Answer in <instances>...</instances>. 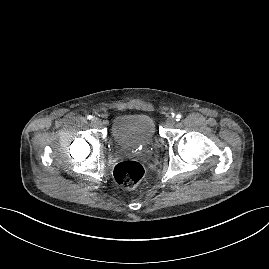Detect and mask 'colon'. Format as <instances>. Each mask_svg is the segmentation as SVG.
Instances as JSON below:
<instances>
[{
  "mask_svg": "<svg viewBox=\"0 0 269 269\" xmlns=\"http://www.w3.org/2000/svg\"><path fill=\"white\" fill-rule=\"evenodd\" d=\"M113 175L117 184L131 189L144 179L145 168L137 161H122L115 166Z\"/></svg>",
  "mask_w": 269,
  "mask_h": 269,
  "instance_id": "1",
  "label": "colon"
}]
</instances>
